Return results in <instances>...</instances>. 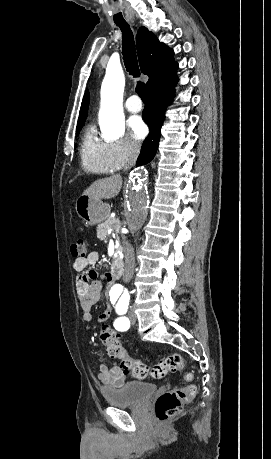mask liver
I'll list each match as a JSON object with an SVG mask.
<instances>
[{"label":"liver","instance_id":"1","mask_svg":"<svg viewBox=\"0 0 271 459\" xmlns=\"http://www.w3.org/2000/svg\"><path fill=\"white\" fill-rule=\"evenodd\" d=\"M122 184V176L120 174H113L110 178L96 180L94 184H91L90 188H87L83 192V196H89V198H94V200H109V198L118 196Z\"/></svg>","mask_w":271,"mask_h":459}]
</instances>
